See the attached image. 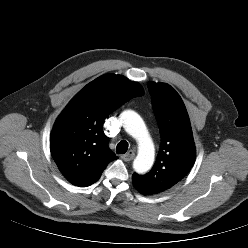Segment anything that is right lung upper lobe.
Listing matches in <instances>:
<instances>
[{
  "label": "right lung upper lobe",
  "mask_w": 248,
  "mask_h": 248,
  "mask_svg": "<svg viewBox=\"0 0 248 248\" xmlns=\"http://www.w3.org/2000/svg\"><path fill=\"white\" fill-rule=\"evenodd\" d=\"M142 87L121 75L105 74L88 83L57 118L50 137L54 161L65 178L79 187L99 180L108 163L117 159L107 145L104 119Z\"/></svg>",
  "instance_id": "right-lung-upper-lobe-1"
}]
</instances>
